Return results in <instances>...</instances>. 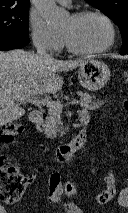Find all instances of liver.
Returning <instances> with one entry per match:
<instances>
[{
	"label": "liver",
	"instance_id": "1",
	"mask_svg": "<svg viewBox=\"0 0 128 213\" xmlns=\"http://www.w3.org/2000/svg\"><path fill=\"white\" fill-rule=\"evenodd\" d=\"M84 60L46 61L33 52L22 49L0 52V127L25 114L16 101L23 102L34 95L57 93L63 80L59 73L71 71Z\"/></svg>",
	"mask_w": 128,
	"mask_h": 213
}]
</instances>
